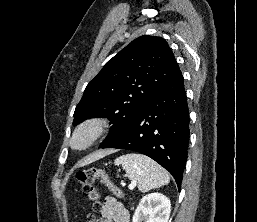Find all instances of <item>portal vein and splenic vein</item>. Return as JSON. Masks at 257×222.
Here are the masks:
<instances>
[{"instance_id":"obj_1","label":"portal vein and splenic vein","mask_w":257,"mask_h":222,"mask_svg":"<svg viewBox=\"0 0 257 222\" xmlns=\"http://www.w3.org/2000/svg\"><path fill=\"white\" fill-rule=\"evenodd\" d=\"M128 187H129V189H134L135 184H134V183H132V184H130Z\"/></svg>"}]
</instances>
